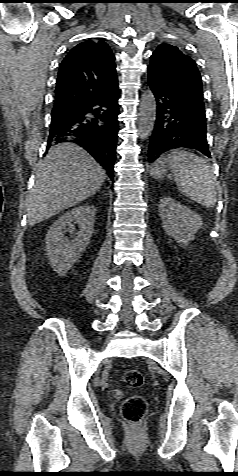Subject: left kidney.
<instances>
[{
	"instance_id": "1",
	"label": "left kidney",
	"mask_w": 238,
	"mask_h": 476,
	"mask_svg": "<svg viewBox=\"0 0 238 476\" xmlns=\"http://www.w3.org/2000/svg\"><path fill=\"white\" fill-rule=\"evenodd\" d=\"M159 213L165 232L185 246L202 227L200 216L172 197H163L160 200Z\"/></svg>"
}]
</instances>
